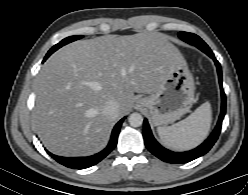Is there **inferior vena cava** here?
<instances>
[{
  "label": "inferior vena cava",
  "instance_id": "obj_1",
  "mask_svg": "<svg viewBox=\"0 0 248 195\" xmlns=\"http://www.w3.org/2000/svg\"><path fill=\"white\" fill-rule=\"evenodd\" d=\"M103 113L112 119L117 118L119 116V103L116 100L107 101Z\"/></svg>",
  "mask_w": 248,
  "mask_h": 195
}]
</instances>
